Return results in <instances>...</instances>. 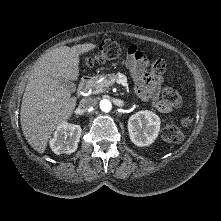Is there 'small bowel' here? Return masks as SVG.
I'll return each mask as SVG.
<instances>
[{"mask_svg": "<svg viewBox=\"0 0 221 221\" xmlns=\"http://www.w3.org/2000/svg\"><path fill=\"white\" fill-rule=\"evenodd\" d=\"M122 64L130 70L135 81V92L142 101L151 102L159 112L169 113L172 111V106L160 99L162 78L149 75L147 69L149 61L136 45L129 46Z\"/></svg>", "mask_w": 221, "mask_h": 221, "instance_id": "small-bowel-1", "label": "small bowel"}]
</instances>
